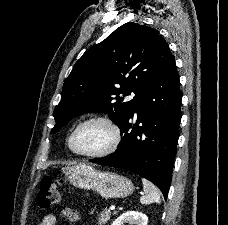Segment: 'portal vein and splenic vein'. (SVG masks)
I'll return each instance as SVG.
<instances>
[{"label":"portal vein and splenic vein","instance_id":"portal-vein-and-splenic-vein-1","mask_svg":"<svg viewBox=\"0 0 228 225\" xmlns=\"http://www.w3.org/2000/svg\"><path fill=\"white\" fill-rule=\"evenodd\" d=\"M109 209H111V211H113V209H115L116 208V205L115 204H109Z\"/></svg>","mask_w":228,"mask_h":225}]
</instances>
